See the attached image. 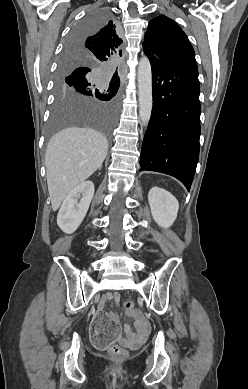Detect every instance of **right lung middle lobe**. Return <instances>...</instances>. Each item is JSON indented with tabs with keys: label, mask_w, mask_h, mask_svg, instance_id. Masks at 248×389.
Listing matches in <instances>:
<instances>
[{
	"label": "right lung middle lobe",
	"mask_w": 248,
	"mask_h": 389,
	"mask_svg": "<svg viewBox=\"0 0 248 389\" xmlns=\"http://www.w3.org/2000/svg\"><path fill=\"white\" fill-rule=\"evenodd\" d=\"M110 13L106 10H93L71 32L65 48L74 40L85 38L109 22ZM67 60V61H66ZM81 73L70 77L75 70ZM119 83L110 81L102 67L86 63L81 56L61 58L56 88V100L51 114L49 135L72 126H91L111 139L115 122V104ZM96 98L91 101L89 97Z\"/></svg>",
	"instance_id": "obj_1"
}]
</instances>
